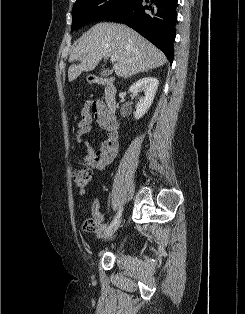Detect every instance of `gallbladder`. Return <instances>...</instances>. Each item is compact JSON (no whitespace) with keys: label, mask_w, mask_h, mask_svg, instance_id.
I'll return each mask as SVG.
<instances>
[{"label":"gallbladder","mask_w":245,"mask_h":314,"mask_svg":"<svg viewBox=\"0 0 245 314\" xmlns=\"http://www.w3.org/2000/svg\"><path fill=\"white\" fill-rule=\"evenodd\" d=\"M110 73H111V71L104 69V70H102V71L100 72V75H101V76H109Z\"/></svg>","instance_id":"bac80fb5"}]
</instances>
